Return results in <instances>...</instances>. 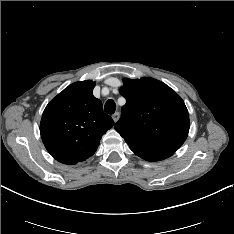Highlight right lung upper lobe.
Wrapping results in <instances>:
<instances>
[{
    "mask_svg": "<svg viewBox=\"0 0 234 234\" xmlns=\"http://www.w3.org/2000/svg\"><path fill=\"white\" fill-rule=\"evenodd\" d=\"M95 82L69 85L46 106L40 134L47 151L59 162L72 165L92 156L100 139L114 125L102 103L93 96Z\"/></svg>",
    "mask_w": 234,
    "mask_h": 234,
    "instance_id": "1",
    "label": "right lung upper lobe"
}]
</instances>
